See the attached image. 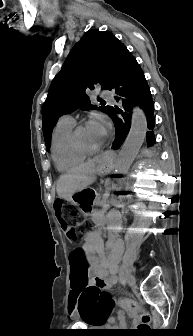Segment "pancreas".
I'll use <instances>...</instances> for the list:
<instances>
[{
  "label": "pancreas",
  "instance_id": "1",
  "mask_svg": "<svg viewBox=\"0 0 193 336\" xmlns=\"http://www.w3.org/2000/svg\"><path fill=\"white\" fill-rule=\"evenodd\" d=\"M111 197V194L107 191L106 195H99L98 204L95 205V210L103 213L104 211H108L110 206L107 204L108 199Z\"/></svg>",
  "mask_w": 193,
  "mask_h": 336
}]
</instances>
